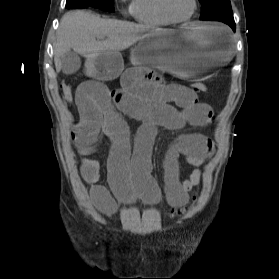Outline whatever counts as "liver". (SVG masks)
<instances>
[{
  "instance_id": "1",
  "label": "liver",
  "mask_w": 279,
  "mask_h": 279,
  "mask_svg": "<svg viewBox=\"0 0 279 279\" xmlns=\"http://www.w3.org/2000/svg\"><path fill=\"white\" fill-rule=\"evenodd\" d=\"M160 30L149 25L102 19L87 11L68 12L61 19L54 44L56 71L61 70L60 58L71 49L92 61L105 52L119 53Z\"/></svg>"
}]
</instances>
